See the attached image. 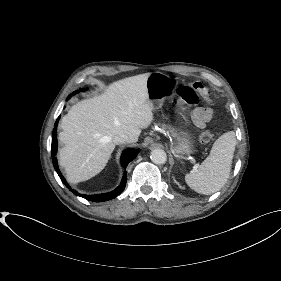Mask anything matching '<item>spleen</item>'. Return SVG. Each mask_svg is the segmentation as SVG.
Listing matches in <instances>:
<instances>
[{
    "instance_id": "1",
    "label": "spleen",
    "mask_w": 281,
    "mask_h": 281,
    "mask_svg": "<svg viewBox=\"0 0 281 281\" xmlns=\"http://www.w3.org/2000/svg\"><path fill=\"white\" fill-rule=\"evenodd\" d=\"M236 143L233 131L221 135L201 165L185 175L187 185L204 195L220 190L229 178Z\"/></svg>"
}]
</instances>
